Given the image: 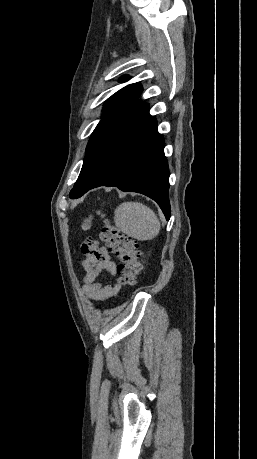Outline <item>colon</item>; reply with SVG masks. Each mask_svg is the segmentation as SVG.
<instances>
[{
    "label": "colon",
    "mask_w": 257,
    "mask_h": 459,
    "mask_svg": "<svg viewBox=\"0 0 257 459\" xmlns=\"http://www.w3.org/2000/svg\"><path fill=\"white\" fill-rule=\"evenodd\" d=\"M91 217L88 216L82 222V228L89 227ZM100 238L109 250L115 253L120 263L117 268L118 279L122 285L132 286L136 284L141 271L140 250L138 243L121 233L117 227L106 220L101 228Z\"/></svg>",
    "instance_id": "5ec220e1"
}]
</instances>
